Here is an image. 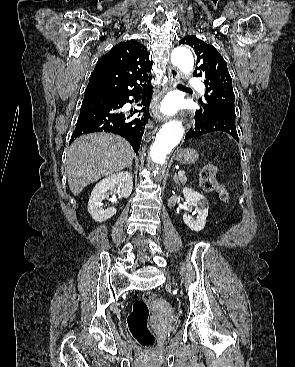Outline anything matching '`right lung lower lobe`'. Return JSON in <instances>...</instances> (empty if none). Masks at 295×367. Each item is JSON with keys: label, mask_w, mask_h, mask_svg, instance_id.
Returning <instances> with one entry per match:
<instances>
[{"label": "right lung lower lobe", "mask_w": 295, "mask_h": 367, "mask_svg": "<svg viewBox=\"0 0 295 367\" xmlns=\"http://www.w3.org/2000/svg\"><path fill=\"white\" fill-rule=\"evenodd\" d=\"M129 96L144 98L146 89L123 95L84 97L73 139L93 132H111L124 137L138 153L144 126L150 118L144 111L131 110L130 113L144 112L143 116L133 117L122 111L126 103H131ZM147 100H145L146 102ZM145 103H141L142 106ZM148 109V106H147ZM72 141H70L71 143Z\"/></svg>", "instance_id": "right-lung-lower-lobe-1"}]
</instances>
